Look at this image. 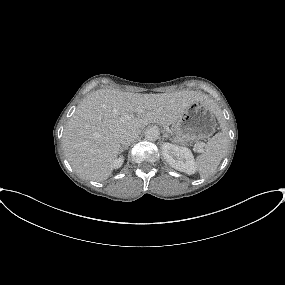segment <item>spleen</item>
Instances as JSON below:
<instances>
[{
	"label": "spleen",
	"mask_w": 285,
	"mask_h": 285,
	"mask_svg": "<svg viewBox=\"0 0 285 285\" xmlns=\"http://www.w3.org/2000/svg\"><path fill=\"white\" fill-rule=\"evenodd\" d=\"M219 115L220 113H218V116ZM219 118L222 131L216 133L212 138L208 140L204 151L196 158L195 166L200 174V177L202 178L207 177L215 172L228 149V132L224 126L222 118Z\"/></svg>",
	"instance_id": "obj_1"
}]
</instances>
